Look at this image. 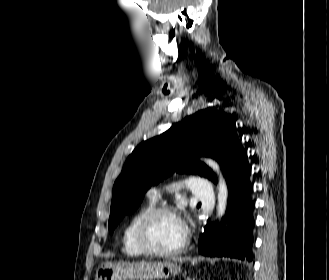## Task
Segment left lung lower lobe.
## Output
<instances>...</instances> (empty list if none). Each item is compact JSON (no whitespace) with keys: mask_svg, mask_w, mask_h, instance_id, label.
Here are the masks:
<instances>
[{"mask_svg":"<svg viewBox=\"0 0 329 280\" xmlns=\"http://www.w3.org/2000/svg\"><path fill=\"white\" fill-rule=\"evenodd\" d=\"M251 167L245 150L239 168L226 180L229 188L227 212L224 224L212 225L207 221L199 239V251L210 257H231L252 260V216L254 203L251 199L253 185L249 181Z\"/></svg>","mask_w":329,"mask_h":280,"instance_id":"left-lung-lower-lobe-1","label":"left lung lower lobe"}]
</instances>
